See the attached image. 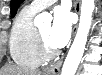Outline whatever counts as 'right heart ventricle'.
<instances>
[{
  "instance_id": "e07e8e85",
  "label": "right heart ventricle",
  "mask_w": 102,
  "mask_h": 75,
  "mask_svg": "<svg viewBox=\"0 0 102 75\" xmlns=\"http://www.w3.org/2000/svg\"><path fill=\"white\" fill-rule=\"evenodd\" d=\"M36 13L27 6L20 10L15 18L9 41L13 61L27 68H36L41 62L37 52V28L33 22Z\"/></svg>"
}]
</instances>
